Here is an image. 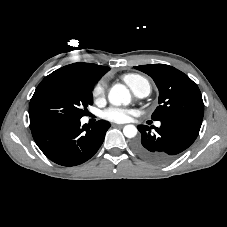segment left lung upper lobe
Wrapping results in <instances>:
<instances>
[{
	"instance_id": "5c2ea615",
	"label": "left lung upper lobe",
	"mask_w": 227,
	"mask_h": 227,
	"mask_svg": "<svg viewBox=\"0 0 227 227\" xmlns=\"http://www.w3.org/2000/svg\"><path fill=\"white\" fill-rule=\"evenodd\" d=\"M153 78L159 89V106L153 120L175 117L203 119L204 104L198 86L183 72L165 64L134 66Z\"/></svg>"
}]
</instances>
